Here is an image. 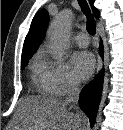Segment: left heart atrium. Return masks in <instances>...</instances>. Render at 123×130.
Masks as SVG:
<instances>
[{
  "label": "left heart atrium",
  "instance_id": "39dd6f15",
  "mask_svg": "<svg viewBox=\"0 0 123 130\" xmlns=\"http://www.w3.org/2000/svg\"><path fill=\"white\" fill-rule=\"evenodd\" d=\"M95 58L89 51H77L71 57L72 70L78 80H86L95 69Z\"/></svg>",
  "mask_w": 123,
  "mask_h": 130
}]
</instances>
